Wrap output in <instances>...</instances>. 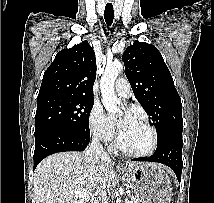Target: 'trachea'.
Wrapping results in <instances>:
<instances>
[{
  "label": "trachea",
  "instance_id": "3493384b",
  "mask_svg": "<svg viewBox=\"0 0 214 203\" xmlns=\"http://www.w3.org/2000/svg\"><path fill=\"white\" fill-rule=\"evenodd\" d=\"M105 22L108 26H111L114 19V10L112 4H107L104 11Z\"/></svg>",
  "mask_w": 214,
  "mask_h": 203
}]
</instances>
